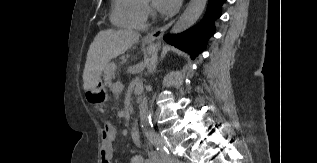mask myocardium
I'll return each mask as SVG.
<instances>
[{
	"label": "myocardium",
	"instance_id": "1",
	"mask_svg": "<svg viewBox=\"0 0 317 163\" xmlns=\"http://www.w3.org/2000/svg\"><path fill=\"white\" fill-rule=\"evenodd\" d=\"M144 3H145V6L148 5V1L147 0H144Z\"/></svg>",
	"mask_w": 317,
	"mask_h": 163
}]
</instances>
